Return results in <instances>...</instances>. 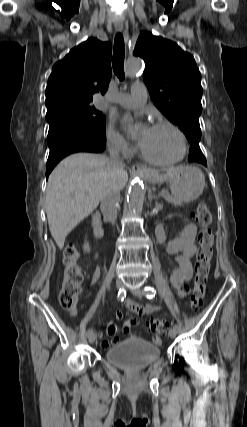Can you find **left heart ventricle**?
<instances>
[{
	"label": "left heart ventricle",
	"instance_id": "obj_1",
	"mask_svg": "<svg viewBox=\"0 0 247 427\" xmlns=\"http://www.w3.org/2000/svg\"><path fill=\"white\" fill-rule=\"evenodd\" d=\"M141 148L152 158L168 160L177 156L179 140L176 134L167 127H152L142 138Z\"/></svg>",
	"mask_w": 247,
	"mask_h": 427
}]
</instances>
